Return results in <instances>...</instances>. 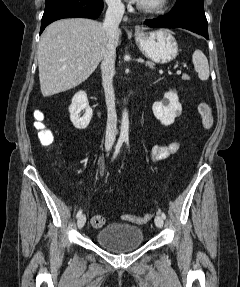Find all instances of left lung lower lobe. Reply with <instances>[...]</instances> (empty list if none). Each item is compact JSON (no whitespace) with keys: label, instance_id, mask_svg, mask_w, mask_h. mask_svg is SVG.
I'll list each match as a JSON object with an SVG mask.
<instances>
[{"label":"left lung lower lobe","instance_id":"1","mask_svg":"<svg viewBox=\"0 0 240 287\" xmlns=\"http://www.w3.org/2000/svg\"><path fill=\"white\" fill-rule=\"evenodd\" d=\"M145 23L154 28H184L209 39L203 0H177L168 14Z\"/></svg>","mask_w":240,"mask_h":287}]
</instances>
